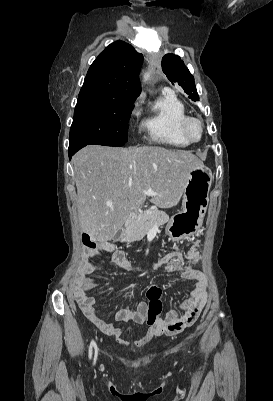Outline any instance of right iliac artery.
<instances>
[{
    "label": "right iliac artery",
    "mask_w": 273,
    "mask_h": 401,
    "mask_svg": "<svg viewBox=\"0 0 273 401\" xmlns=\"http://www.w3.org/2000/svg\"><path fill=\"white\" fill-rule=\"evenodd\" d=\"M92 347H95L96 348V343L92 340L91 341V343H90V347H89V358L91 359V357H92ZM94 361H95V359H94Z\"/></svg>",
    "instance_id": "82829eb1"
}]
</instances>
